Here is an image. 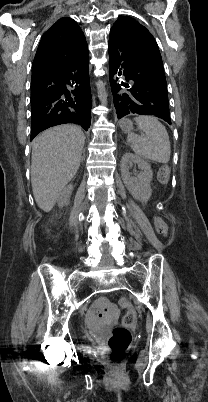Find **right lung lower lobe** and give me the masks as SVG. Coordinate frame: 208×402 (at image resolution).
I'll list each match as a JSON object with an SVG mask.
<instances>
[{"label":"right lung lower lobe","instance_id":"1","mask_svg":"<svg viewBox=\"0 0 208 402\" xmlns=\"http://www.w3.org/2000/svg\"><path fill=\"white\" fill-rule=\"evenodd\" d=\"M91 103L86 41L61 59L33 64L30 140L41 131L60 124L74 123L87 130L91 122Z\"/></svg>","mask_w":208,"mask_h":402}]
</instances>
